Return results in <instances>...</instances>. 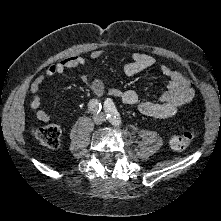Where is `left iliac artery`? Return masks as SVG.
<instances>
[{"mask_svg": "<svg viewBox=\"0 0 221 221\" xmlns=\"http://www.w3.org/2000/svg\"><path fill=\"white\" fill-rule=\"evenodd\" d=\"M104 109L105 112L107 114V118L109 119V121L115 125V126H120L121 125V117L119 112L117 111L113 101L111 99H107L104 102Z\"/></svg>", "mask_w": 221, "mask_h": 221, "instance_id": "obj_1", "label": "left iliac artery"}]
</instances>
